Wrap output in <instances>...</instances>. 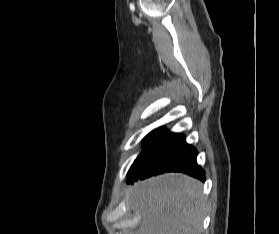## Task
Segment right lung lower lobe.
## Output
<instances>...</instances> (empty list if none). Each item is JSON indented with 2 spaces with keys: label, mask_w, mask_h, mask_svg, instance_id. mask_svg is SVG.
Wrapping results in <instances>:
<instances>
[{
  "label": "right lung lower lobe",
  "mask_w": 279,
  "mask_h": 234,
  "mask_svg": "<svg viewBox=\"0 0 279 234\" xmlns=\"http://www.w3.org/2000/svg\"><path fill=\"white\" fill-rule=\"evenodd\" d=\"M197 151L185 142L184 135L158 128L132 165L127 183L164 172H183L205 181L204 171L196 163Z\"/></svg>",
  "instance_id": "right-lung-lower-lobe-1"
}]
</instances>
